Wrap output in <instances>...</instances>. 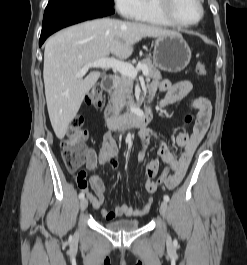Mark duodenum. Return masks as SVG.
Listing matches in <instances>:
<instances>
[{"instance_id": "obj_1", "label": "duodenum", "mask_w": 247, "mask_h": 265, "mask_svg": "<svg viewBox=\"0 0 247 265\" xmlns=\"http://www.w3.org/2000/svg\"><path fill=\"white\" fill-rule=\"evenodd\" d=\"M116 78L112 74H107L104 76L101 86L102 88L109 90L113 87ZM153 114L149 108L143 112L132 113L129 115L120 114L117 109L112 106H108L105 110V118L108 126L111 129H120L123 127H134L146 126L152 119Z\"/></svg>"}]
</instances>
